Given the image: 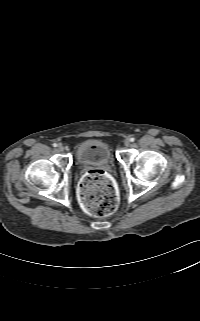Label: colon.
Instances as JSON below:
<instances>
[{"label":"colon","instance_id":"obj_1","mask_svg":"<svg viewBox=\"0 0 200 321\" xmlns=\"http://www.w3.org/2000/svg\"><path fill=\"white\" fill-rule=\"evenodd\" d=\"M79 197L85 211L93 216L112 214L118 206L116 190L102 170H91L81 179Z\"/></svg>","mask_w":200,"mask_h":321}]
</instances>
